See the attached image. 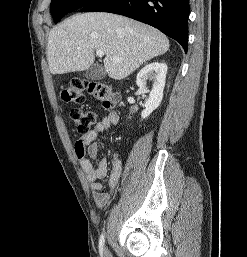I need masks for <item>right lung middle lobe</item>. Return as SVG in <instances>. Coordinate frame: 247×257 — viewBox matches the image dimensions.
I'll return each mask as SVG.
<instances>
[{"label":"right lung middle lobe","mask_w":247,"mask_h":257,"mask_svg":"<svg viewBox=\"0 0 247 257\" xmlns=\"http://www.w3.org/2000/svg\"><path fill=\"white\" fill-rule=\"evenodd\" d=\"M91 1L93 0H52L50 10L54 22H59L67 13L80 9Z\"/></svg>","instance_id":"1"}]
</instances>
